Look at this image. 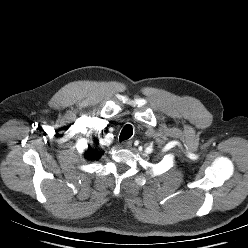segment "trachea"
<instances>
[{
  "label": "trachea",
  "mask_w": 248,
  "mask_h": 248,
  "mask_svg": "<svg viewBox=\"0 0 248 248\" xmlns=\"http://www.w3.org/2000/svg\"><path fill=\"white\" fill-rule=\"evenodd\" d=\"M133 135V128L130 126V125H126L121 133H120V137H119V140L120 142L121 141H124V140H127L129 139L131 136Z\"/></svg>",
  "instance_id": "1"
}]
</instances>
